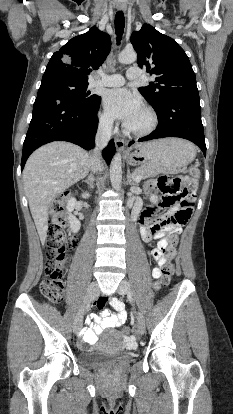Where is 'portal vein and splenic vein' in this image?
<instances>
[{
    "mask_svg": "<svg viewBox=\"0 0 233 414\" xmlns=\"http://www.w3.org/2000/svg\"><path fill=\"white\" fill-rule=\"evenodd\" d=\"M136 183H139L141 181V177L137 176L134 178Z\"/></svg>",
    "mask_w": 233,
    "mask_h": 414,
    "instance_id": "18ae733b",
    "label": "portal vein and splenic vein"
}]
</instances>
